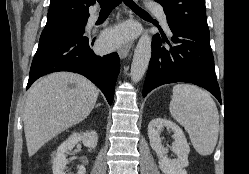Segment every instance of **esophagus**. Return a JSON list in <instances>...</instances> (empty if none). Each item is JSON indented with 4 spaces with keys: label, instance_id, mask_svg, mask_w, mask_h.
<instances>
[{
    "label": "esophagus",
    "instance_id": "34e87169",
    "mask_svg": "<svg viewBox=\"0 0 249 174\" xmlns=\"http://www.w3.org/2000/svg\"><path fill=\"white\" fill-rule=\"evenodd\" d=\"M134 1L137 2L138 0H134ZM131 48H132V43H126V44H124L119 49V52H118L120 58H125L128 55V53H129V51H130Z\"/></svg>",
    "mask_w": 249,
    "mask_h": 174
}]
</instances>
